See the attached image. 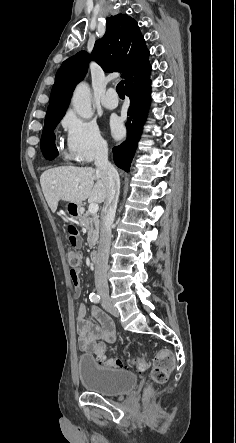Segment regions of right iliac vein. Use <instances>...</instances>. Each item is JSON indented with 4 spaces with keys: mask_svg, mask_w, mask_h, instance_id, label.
Here are the masks:
<instances>
[{
    "mask_svg": "<svg viewBox=\"0 0 236 443\" xmlns=\"http://www.w3.org/2000/svg\"><path fill=\"white\" fill-rule=\"evenodd\" d=\"M104 309H106L107 311H109L111 314H113L114 316H119V311L118 309L111 303H105L102 305Z\"/></svg>",
    "mask_w": 236,
    "mask_h": 443,
    "instance_id": "63e3f726",
    "label": "right iliac vein"
}]
</instances>
